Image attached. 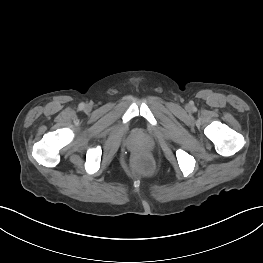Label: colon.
<instances>
[{
    "label": "colon",
    "instance_id": "obj_1",
    "mask_svg": "<svg viewBox=\"0 0 263 263\" xmlns=\"http://www.w3.org/2000/svg\"><path fill=\"white\" fill-rule=\"evenodd\" d=\"M137 167L142 171H147L150 168V164L146 160H139L137 162Z\"/></svg>",
    "mask_w": 263,
    "mask_h": 263
}]
</instances>
